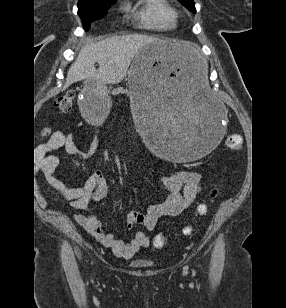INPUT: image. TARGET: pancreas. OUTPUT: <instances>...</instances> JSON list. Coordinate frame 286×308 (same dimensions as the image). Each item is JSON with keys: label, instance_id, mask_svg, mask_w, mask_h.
<instances>
[{"label": "pancreas", "instance_id": "cf45deb5", "mask_svg": "<svg viewBox=\"0 0 286 308\" xmlns=\"http://www.w3.org/2000/svg\"><path fill=\"white\" fill-rule=\"evenodd\" d=\"M123 93H125V89H123L122 87L116 88L112 91V95H118Z\"/></svg>", "mask_w": 286, "mask_h": 308}]
</instances>
